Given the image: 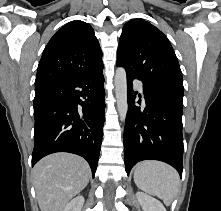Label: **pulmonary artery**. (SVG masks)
<instances>
[{
  "label": "pulmonary artery",
  "instance_id": "1",
  "mask_svg": "<svg viewBox=\"0 0 221 211\" xmlns=\"http://www.w3.org/2000/svg\"><path fill=\"white\" fill-rule=\"evenodd\" d=\"M134 84L136 85V87L138 88L140 93L143 94L142 83L140 81H138V80H134Z\"/></svg>",
  "mask_w": 221,
  "mask_h": 211
}]
</instances>
